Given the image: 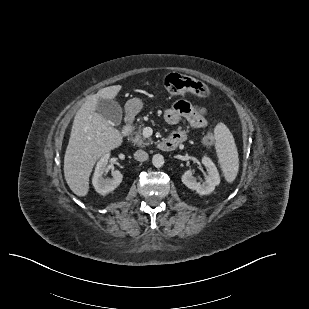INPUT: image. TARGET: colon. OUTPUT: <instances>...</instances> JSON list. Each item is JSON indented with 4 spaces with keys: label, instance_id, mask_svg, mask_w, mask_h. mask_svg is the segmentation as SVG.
Returning a JSON list of instances; mask_svg holds the SVG:
<instances>
[{
    "label": "colon",
    "instance_id": "1",
    "mask_svg": "<svg viewBox=\"0 0 309 309\" xmlns=\"http://www.w3.org/2000/svg\"><path fill=\"white\" fill-rule=\"evenodd\" d=\"M165 87L170 93L180 97L193 95L199 98H205L209 94L208 88L201 82L176 73L167 76ZM203 143L208 146L212 145L214 143V136L207 134L203 138Z\"/></svg>",
    "mask_w": 309,
    "mask_h": 309
}]
</instances>
